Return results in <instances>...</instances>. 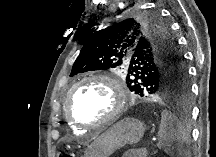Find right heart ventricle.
I'll return each instance as SVG.
<instances>
[{
    "label": "right heart ventricle",
    "mask_w": 216,
    "mask_h": 157,
    "mask_svg": "<svg viewBox=\"0 0 216 157\" xmlns=\"http://www.w3.org/2000/svg\"><path fill=\"white\" fill-rule=\"evenodd\" d=\"M70 127L74 130V131H81V128L71 124Z\"/></svg>",
    "instance_id": "right-heart-ventricle-1"
}]
</instances>
